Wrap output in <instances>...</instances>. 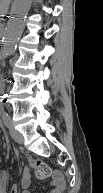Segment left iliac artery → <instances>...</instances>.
Instances as JSON below:
<instances>
[{"label":"left iliac artery","instance_id":"44dca946","mask_svg":"<svg viewBox=\"0 0 103 193\" xmlns=\"http://www.w3.org/2000/svg\"><path fill=\"white\" fill-rule=\"evenodd\" d=\"M2 119H3V122H4L5 126L9 128L11 126L10 116L7 113H3L2 114Z\"/></svg>","mask_w":103,"mask_h":193}]
</instances>
